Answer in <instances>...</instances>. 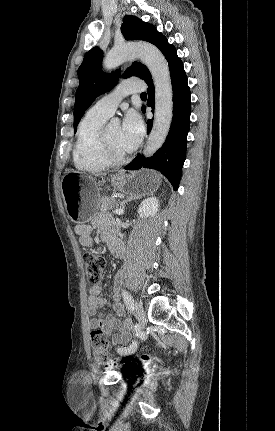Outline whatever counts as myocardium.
Returning a JSON list of instances; mask_svg holds the SVG:
<instances>
[{
	"label": "myocardium",
	"mask_w": 275,
	"mask_h": 431,
	"mask_svg": "<svg viewBox=\"0 0 275 431\" xmlns=\"http://www.w3.org/2000/svg\"><path fill=\"white\" fill-rule=\"evenodd\" d=\"M101 151L102 155L105 158V160L110 163V165H122L130 159L129 154L125 155H119L117 154L112 146L110 145L108 138H107V129H103L101 133Z\"/></svg>",
	"instance_id": "myocardium-1"
}]
</instances>
